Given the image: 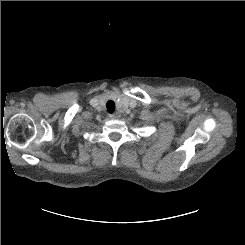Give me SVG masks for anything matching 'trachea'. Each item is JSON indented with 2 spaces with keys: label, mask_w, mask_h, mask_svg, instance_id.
<instances>
[{
  "label": "trachea",
  "mask_w": 245,
  "mask_h": 245,
  "mask_svg": "<svg viewBox=\"0 0 245 245\" xmlns=\"http://www.w3.org/2000/svg\"><path fill=\"white\" fill-rule=\"evenodd\" d=\"M107 110L109 113H113L115 111V103L114 101L110 100L106 104Z\"/></svg>",
  "instance_id": "3493384b"
}]
</instances>
